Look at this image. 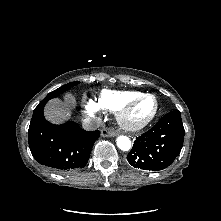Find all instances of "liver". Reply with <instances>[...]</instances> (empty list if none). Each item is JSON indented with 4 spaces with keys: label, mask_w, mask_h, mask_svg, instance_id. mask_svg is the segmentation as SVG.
I'll list each match as a JSON object with an SVG mask.
<instances>
[{
    "label": "liver",
    "mask_w": 221,
    "mask_h": 221,
    "mask_svg": "<svg viewBox=\"0 0 221 221\" xmlns=\"http://www.w3.org/2000/svg\"><path fill=\"white\" fill-rule=\"evenodd\" d=\"M74 105L75 98L71 94L65 96V103L59 99H53L45 108V117L52 123H63L70 118V109L74 107Z\"/></svg>",
    "instance_id": "1"
}]
</instances>
